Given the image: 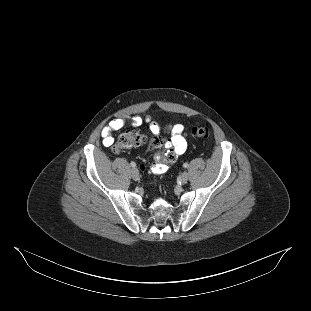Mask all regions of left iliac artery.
<instances>
[{"mask_svg":"<svg viewBox=\"0 0 311 311\" xmlns=\"http://www.w3.org/2000/svg\"><path fill=\"white\" fill-rule=\"evenodd\" d=\"M188 166H189L188 163H184V164H183V167H184V168H187Z\"/></svg>","mask_w":311,"mask_h":311,"instance_id":"44dca946","label":"left iliac artery"}]
</instances>
